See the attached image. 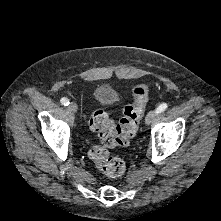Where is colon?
<instances>
[{
	"label": "colon",
	"mask_w": 221,
	"mask_h": 221,
	"mask_svg": "<svg viewBox=\"0 0 221 221\" xmlns=\"http://www.w3.org/2000/svg\"><path fill=\"white\" fill-rule=\"evenodd\" d=\"M148 102V88L141 84L132 90V103L123 110V116L115 125L102 109H96L90 119V128L97 133L101 144L94 145L89 151L93 163L108 178H118L125 172V163L111 156L108 149L127 146L138 131L139 122Z\"/></svg>",
	"instance_id": "colon-1"
}]
</instances>
